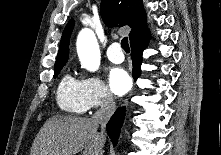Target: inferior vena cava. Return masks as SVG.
<instances>
[{
  "mask_svg": "<svg viewBox=\"0 0 221 155\" xmlns=\"http://www.w3.org/2000/svg\"><path fill=\"white\" fill-rule=\"evenodd\" d=\"M115 109L116 105L113 101V96L111 92L107 91L105 94L104 103L102 104L101 108L94 113L92 117V120L94 122L101 125V134H103L105 126L114 113Z\"/></svg>",
  "mask_w": 221,
  "mask_h": 155,
  "instance_id": "1",
  "label": "inferior vena cava"
}]
</instances>
